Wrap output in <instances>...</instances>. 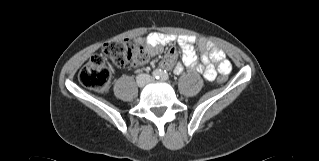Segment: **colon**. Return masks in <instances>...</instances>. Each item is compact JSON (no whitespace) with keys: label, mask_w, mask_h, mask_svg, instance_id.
Returning <instances> with one entry per match:
<instances>
[{"label":"colon","mask_w":319,"mask_h":161,"mask_svg":"<svg viewBox=\"0 0 319 161\" xmlns=\"http://www.w3.org/2000/svg\"><path fill=\"white\" fill-rule=\"evenodd\" d=\"M102 52L116 66L138 68L150 62L149 50L129 39L109 41L103 46ZM110 78L111 71L102 54L93 55L79 71L81 84L97 92L108 88ZM226 80L227 76L224 74L218 78L219 83H224Z\"/></svg>","instance_id":"5ec220e1"}]
</instances>
